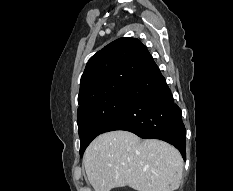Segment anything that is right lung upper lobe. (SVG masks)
I'll list each match as a JSON object with an SVG mask.
<instances>
[{
  "mask_svg": "<svg viewBox=\"0 0 233 191\" xmlns=\"http://www.w3.org/2000/svg\"><path fill=\"white\" fill-rule=\"evenodd\" d=\"M152 59L136 38H119L87 63L80 81L78 110L110 95L126 92Z\"/></svg>",
  "mask_w": 233,
  "mask_h": 191,
  "instance_id": "cb5924a9",
  "label": "right lung upper lobe"
}]
</instances>
